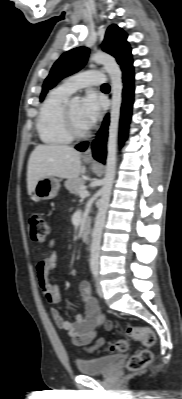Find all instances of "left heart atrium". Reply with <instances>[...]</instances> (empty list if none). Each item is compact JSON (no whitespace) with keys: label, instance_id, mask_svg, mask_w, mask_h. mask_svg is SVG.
I'll return each instance as SVG.
<instances>
[{"label":"left heart atrium","instance_id":"obj_1","mask_svg":"<svg viewBox=\"0 0 182 399\" xmlns=\"http://www.w3.org/2000/svg\"><path fill=\"white\" fill-rule=\"evenodd\" d=\"M103 108L102 98L94 93L89 92L82 104L81 118L87 128L91 127L101 116Z\"/></svg>","mask_w":182,"mask_h":399}]
</instances>
